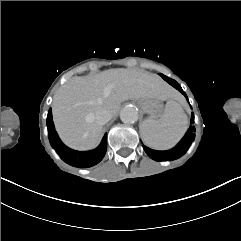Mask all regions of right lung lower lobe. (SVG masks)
Returning <instances> with one entry per match:
<instances>
[{
  "instance_id": "98d812e1",
  "label": "right lung lower lobe",
  "mask_w": 241,
  "mask_h": 241,
  "mask_svg": "<svg viewBox=\"0 0 241 241\" xmlns=\"http://www.w3.org/2000/svg\"><path fill=\"white\" fill-rule=\"evenodd\" d=\"M47 127L51 145L66 163L78 168H87L98 164L103 159L107 149V134L104 135L96 149L76 151L64 145L58 137L52 120L51 109H49L47 116Z\"/></svg>"
}]
</instances>
